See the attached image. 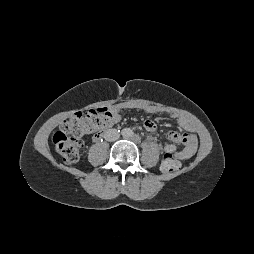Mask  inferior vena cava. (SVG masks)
<instances>
[{"instance_id": "obj_1", "label": "inferior vena cava", "mask_w": 254, "mask_h": 254, "mask_svg": "<svg viewBox=\"0 0 254 254\" xmlns=\"http://www.w3.org/2000/svg\"><path fill=\"white\" fill-rule=\"evenodd\" d=\"M104 137L107 141L112 142L118 140L120 134L116 129H110L105 132Z\"/></svg>"}]
</instances>
